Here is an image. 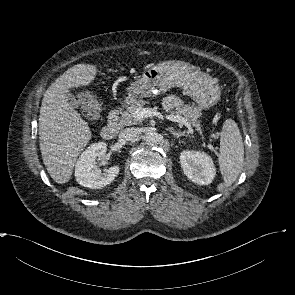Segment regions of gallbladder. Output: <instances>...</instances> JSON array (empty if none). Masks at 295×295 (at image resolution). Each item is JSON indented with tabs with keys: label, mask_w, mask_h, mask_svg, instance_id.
<instances>
[{
	"label": "gallbladder",
	"mask_w": 295,
	"mask_h": 295,
	"mask_svg": "<svg viewBox=\"0 0 295 295\" xmlns=\"http://www.w3.org/2000/svg\"><path fill=\"white\" fill-rule=\"evenodd\" d=\"M67 99H68V102L71 106L77 108L78 107V102L77 100L75 99V97L73 95H71L70 93L67 94Z\"/></svg>",
	"instance_id": "gallbladder-1"
}]
</instances>
